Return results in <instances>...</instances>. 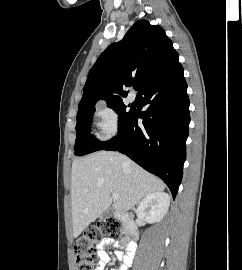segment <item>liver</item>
Returning a JSON list of instances; mask_svg holds the SVG:
<instances>
[{"label": "liver", "instance_id": "6515ba94", "mask_svg": "<svg viewBox=\"0 0 242 270\" xmlns=\"http://www.w3.org/2000/svg\"><path fill=\"white\" fill-rule=\"evenodd\" d=\"M164 189L163 181L118 152L100 151L74 160L71 174L74 238L110 207L111 194L119 195L113 208L128 211L148 194Z\"/></svg>", "mask_w": 242, "mask_h": 270}]
</instances>
